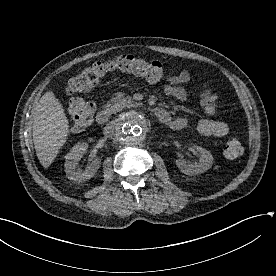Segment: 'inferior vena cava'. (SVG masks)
I'll use <instances>...</instances> for the list:
<instances>
[{"label": "inferior vena cava", "instance_id": "inferior-vena-cava-1", "mask_svg": "<svg viewBox=\"0 0 276 276\" xmlns=\"http://www.w3.org/2000/svg\"><path fill=\"white\" fill-rule=\"evenodd\" d=\"M114 128H115V122H110L107 124V126L104 128V134L107 137H110L114 134Z\"/></svg>", "mask_w": 276, "mask_h": 276}]
</instances>
